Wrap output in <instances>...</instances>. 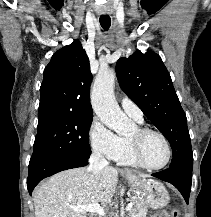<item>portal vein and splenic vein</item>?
Listing matches in <instances>:
<instances>
[{
    "label": "portal vein and splenic vein",
    "instance_id": "portal-vein-and-splenic-vein-1",
    "mask_svg": "<svg viewBox=\"0 0 211 217\" xmlns=\"http://www.w3.org/2000/svg\"><path fill=\"white\" fill-rule=\"evenodd\" d=\"M133 207V203L130 202L127 204V206L125 207V210L126 211H130ZM74 211H77V212H92V213H97L101 216H104L106 213H105V210L97 203H94V204H91V205H85V206H79V207H76V206H72L71 207Z\"/></svg>",
    "mask_w": 211,
    "mask_h": 217
}]
</instances>
